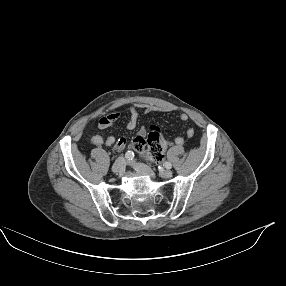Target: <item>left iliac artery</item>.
Wrapping results in <instances>:
<instances>
[{
    "label": "left iliac artery",
    "mask_w": 286,
    "mask_h": 286,
    "mask_svg": "<svg viewBox=\"0 0 286 286\" xmlns=\"http://www.w3.org/2000/svg\"><path fill=\"white\" fill-rule=\"evenodd\" d=\"M164 167L167 169H171L172 168V164L170 162H165L164 163Z\"/></svg>",
    "instance_id": "44dca946"
}]
</instances>
